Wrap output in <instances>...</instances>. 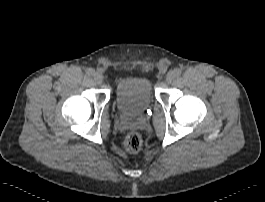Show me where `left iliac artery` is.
Listing matches in <instances>:
<instances>
[{
  "label": "left iliac artery",
  "mask_w": 265,
  "mask_h": 202,
  "mask_svg": "<svg viewBox=\"0 0 265 202\" xmlns=\"http://www.w3.org/2000/svg\"><path fill=\"white\" fill-rule=\"evenodd\" d=\"M174 73H175L176 76H179L182 73V71H181L180 68H175L174 69Z\"/></svg>",
  "instance_id": "obj_1"
}]
</instances>
